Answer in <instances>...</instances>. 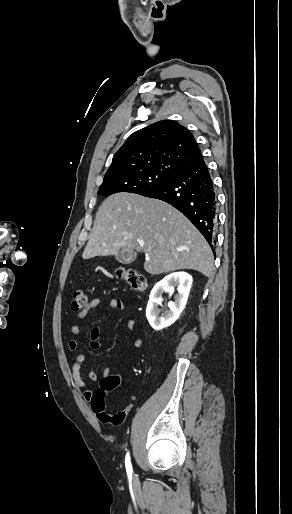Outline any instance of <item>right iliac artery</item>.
<instances>
[{
	"label": "right iliac artery",
	"mask_w": 292,
	"mask_h": 514,
	"mask_svg": "<svg viewBox=\"0 0 292 514\" xmlns=\"http://www.w3.org/2000/svg\"><path fill=\"white\" fill-rule=\"evenodd\" d=\"M125 466H126V471H127V474L128 476H131L132 475V465H131V461H130V455L129 453L126 454V458H125Z\"/></svg>",
	"instance_id": "1"
}]
</instances>
